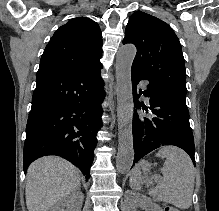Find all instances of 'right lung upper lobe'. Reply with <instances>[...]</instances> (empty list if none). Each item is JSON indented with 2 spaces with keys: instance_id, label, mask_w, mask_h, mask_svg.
<instances>
[{
  "instance_id": "1",
  "label": "right lung upper lobe",
  "mask_w": 219,
  "mask_h": 211,
  "mask_svg": "<svg viewBox=\"0 0 219 211\" xmlns=\"http://www.w3.org/2000/svg\"><path fill=\"white\" fill-rule=\"evenodd\" d=\"M102 34L89 18H74L50 39L41 57L39 72L91 69L100 65Z\"/></svg>"
}]
</instances>
